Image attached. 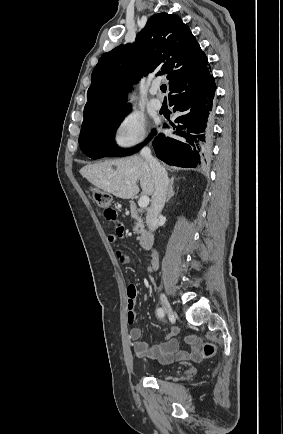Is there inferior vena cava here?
Returning a JSON list of instances; mask_svg holds the SVG:
<instances>
[{"label": "inferior vena cava", "mask_w": 283, "mask_h": 434, "mask_svg": "<svg viewBox=\"0 0 283 434\" xmlns=\"http://www.w3.org/2000/svg\"><path fill=\"white\" fill-rule=\"evenodd\" d=\"M140 155L149 164L154 180V192L151 206L147 212L146 223L151 231H155L157 228V217L164 207L169 190V179L165 168L152 156L150 148L144 147Z\"/></svg>", "instance_id": "inferior-vena-cava-1"}]
</instances>
